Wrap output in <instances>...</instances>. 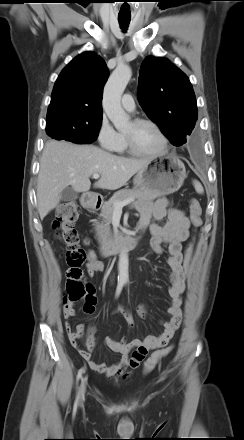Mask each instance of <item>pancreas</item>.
Here are the masks:
<instances>
[{"label":"pancreas","mask_w":244,"mask_h":440,"mask_svg":"<svg viewBox=\"0 0 244 440\" xmlns=\"http://www.w3.org/2000/svg\"><path fill=\"white\" fill-rule=\"evenodd\" d=\"M158 195L147 194L137 189H123L116 192L101 208L100 217L103 219L102 223L95 221L96 235L99 243L106 245L113 241L114 234L111 231L110 223L112 221L113 213L115 211L114 202H123L127 199H137V203H153L158 198Z\"/></svg>","instance_id":"obj_1"}]
</instances>
